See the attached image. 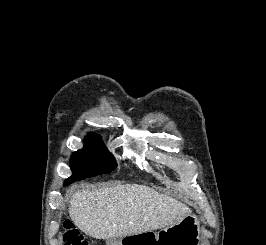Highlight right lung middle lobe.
<instances>
[{
    "mask_svg": "<svg viewBox=\"0 0 266 245\" xmlns=\"http://www.w3.org/2000/svg\"><path fill=\"white\" fill-rule=\"evenodd\" d=\"M72 176L64 185L75 181L93 177L104 173H110L117 166L113 156L95 133H89L85 137L84 148L74 152L70 158Z\"/></svg>",
    "mask_w": 266,
    "mask_h": 245,
    "instance_id": "obj_1",
    "label": "right lung middle lobe"
}]
</instances>
